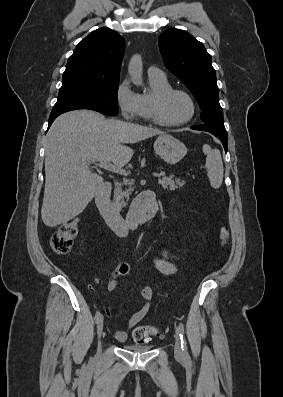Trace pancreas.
Segmentation results:
<instances>
[{
    "instance_id": "obj_1",
    "label": "pancreas",
    "mask_w": 283,
    "mask_h": 397,
    "mask_svg": "<svg viewBox=\"0 0 283 397\" xmlns=\"http://www.w3.org/2000/svg\"><path fill=\"white\" fill-rule=\"evenodd\" d=\"M162 176L163 177L159 179V184L164 189L174 191L178 188L183 187V185L185 184V182L183 180H180L179 178L173 179V176H166L164 173ZM128 184H130V181L128 179H124L123 182L115 184L114 200L119 207H123L127 204L124 201V198H129L130 194L133 191V188L131 186L125 191L122 189L124 185Z\"/></svg>"
}]
</instances>
